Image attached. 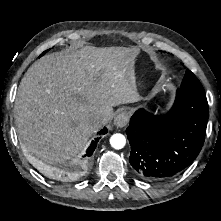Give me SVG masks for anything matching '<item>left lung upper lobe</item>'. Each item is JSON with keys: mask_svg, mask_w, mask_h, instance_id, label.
<instances>
[{"mask_svg": "<svg viewBox=\"0 0 221 221\" xmlns=\"http://www.w3.org/2000/svg\"><path fill=\"white\" fill-rule=\"evenodd\" d=\"M179 89L196 95H205V91L200 81L190 70L186 71L185 76L182 80L181 87Z\"/></svg>", "mask_w": 221, "mask_h": 221, "instance_id": "1", "label": "left lung upper lobe"}]
</instances>
